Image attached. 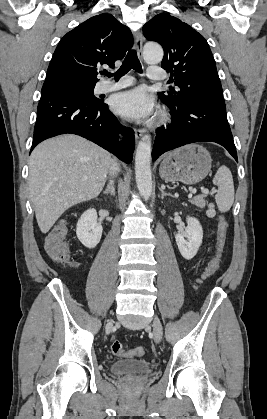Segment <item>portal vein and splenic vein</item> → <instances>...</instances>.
<instances>
[{
  "mask_svg": "<svg viewBox=\"0 0 267 419\" xmlns=\"http://www.w3.org/2000/svg\"><path fill=\"white\" fill-rule=\"evenodd\" d=\"M201 191H202V193H204V194H210V192H209V190H208V189L201 188ZM191 192L194 194V193H196V190L194 189V190H192Z\"/></svg>",
  "mask_w": 267,
  "mask_h": 419,
  "instance_id": "obj_1",
  "label": "portal vein and splenic vein"
}]
</instances>
